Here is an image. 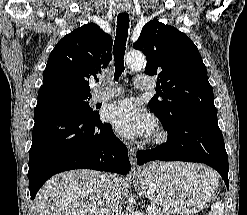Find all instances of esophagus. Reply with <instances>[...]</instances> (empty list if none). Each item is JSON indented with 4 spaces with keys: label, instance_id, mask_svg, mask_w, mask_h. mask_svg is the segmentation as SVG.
I'll return each instance as SVG.
<instances>
[{
    "label": "esophagus",
    "instance_id": "1",
    "mask_svg": "<svg viewBox=\"0 0 247 215\" xmlns=\"http://www.w3.org/2000/svg\"><path fill=\"white\" fill-rule=\"evenodd\" d=\"M128 152H129L130 162L132 165V173L135 174L138 171L137 163H136V150L133 147H129Z\"/></svg>",
    "mask_w": 247,
    "mask_h": 215
}]
</instances>
